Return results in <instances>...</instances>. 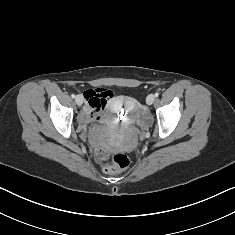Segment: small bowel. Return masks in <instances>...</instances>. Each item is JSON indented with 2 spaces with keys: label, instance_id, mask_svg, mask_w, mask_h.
Returning <instances> with one entry per match:
<instances>
[{
  "label": "small bowel",
  "instance_id": "obj_1",
  "mask_svg": "<svg viewBox=\"0 0 235 235\" xmlns=\"http://www.w3.org/2000/svg\"><path fill=\"white\" fill-rule=\"evenodd\" d=\"M106 92V90L99 89H88L83 92L86 105L80 113L82 123L87 124L91 121L110 123L113 120L111 113L116 111L123 104L129 103L127 97L120 96L114 100L108 99L107 103L103 105L101 98ZM105 108H109V112H106Z\"/></svg>",
  "mask_w": 235,
  "mask_h": 235
}]
</instances>
